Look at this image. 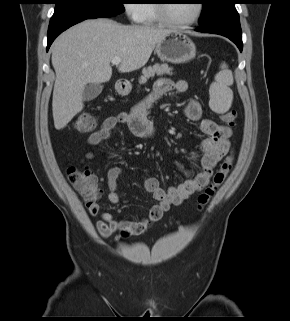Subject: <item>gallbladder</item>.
<instances>
[{
  "mask_svg": "<svg viewBox=\"0 0 290 321\" xmlns=\"http://www.w3.org/2000/svg\"><path fill=\"white\" fill-rule=\"evenodd\" d=\"M103 90V85L101 84H89L85 86L82 94L84 101H91L97 98Z\"/></svg>",
  "mask_w": 290,
  "mask_h": 321,
  "instance_id": "1",
  "label": "gallbladder"
}]
</instances>
